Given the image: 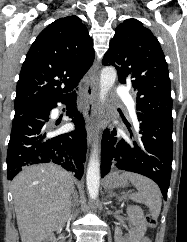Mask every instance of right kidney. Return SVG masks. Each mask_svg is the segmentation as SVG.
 <instances>
[{
  "instance_id": "obj_1",
  "label": "right kidney",
  "mask_w": 187,
  "mask_h": 242,
  "mask_svg": "<svg viewBox=\"0 0 187 242\" xmlns=\"http://www.w3.org/2000/svg\"><path fill=\"white\" fill-rule=\"evenodd\" d=\"M55 240V236L53 233L47 235L43 240L42 242H54Z\"/></svg>"
}]
</instances>
